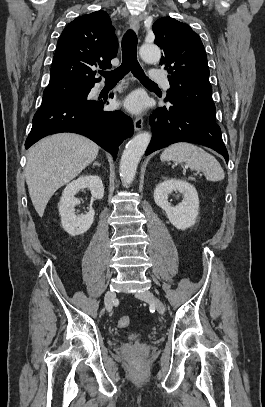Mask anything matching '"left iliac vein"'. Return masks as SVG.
Returning <instances> with one entry per match:
<instances>
[{"instance_id": "left-iliac-vein-1", "label": "left iliac vein", "mask_w": 265, "mask_h": 407, "mask_svg": "<svg viewBox=\"0 0 265 407\" xmlns=\"http://www.w3.org/2000/svg\"><path fill=\"white\" fill-rule=\"evenodd\" d=\"M136 297L143 301L152 303L159 314L165 313V305L150 290L148 289L142 290L136 294Z\"/></svg>"}]
</instances>
